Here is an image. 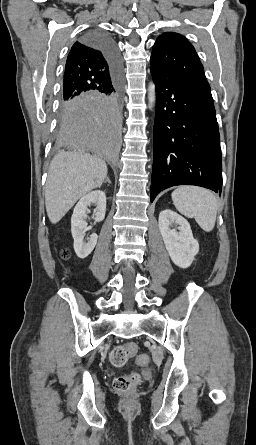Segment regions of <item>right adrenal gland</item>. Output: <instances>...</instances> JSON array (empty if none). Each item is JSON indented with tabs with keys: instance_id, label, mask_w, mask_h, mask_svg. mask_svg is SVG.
I'll return each instance as SVG.
<instances>
[{
	"instance_id": "obj_1",
	"label": "right adrenal gland",
	"mask_w": 256,
	"mask_h": 445,
	"mask_svg": "<svg viewBox=\"0 0 256 445\" xmlns=\"http://www.w3.org/2000/svg\"><path fill=\"white\" fill-rule=\"evenodd\" d=\"M104 183H108V184H111V181H110V179H109V177L107 176V178H106V180H105V182Z\"/></svg>"
}]
</instances>
